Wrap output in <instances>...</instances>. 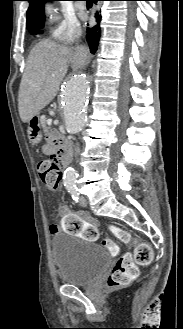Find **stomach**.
<instances>
[{
  "instance_id": "obj_1",
  "label": "stomach",
  "mask_w": 183,
  "mask_h": 329,
  "mask_svg": "<svg viewBox=\"0 0 183 329\" xmlns=\"http://www.w3.org/2000/svg\"><path fill=\"white\" fill-rule=\"evenodd\" d=\"M28 136H29L30 142L33 144L39 143L42 138L41 132H39L36 127L33 128L31 126L28 128Z\"/></svg>"
}]
</instances>
